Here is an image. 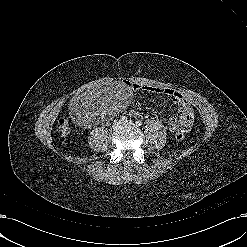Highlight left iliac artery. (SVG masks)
<instances>
[{"instance_id":"44dca946","label":"left iliac artery","mask_w":247,"mask_h":247,"mask_svg":"<svg viewBox=\"0 0 247 247\" xmlns=\"http://www.w3.org/2000/svg\"><path fill=\"white\" fill-rule=\"evenodd\" d=\"M136 125H137V126H141V125H142V122H141V121H137V122H136Z\"/></svg>"}]
</instances>
